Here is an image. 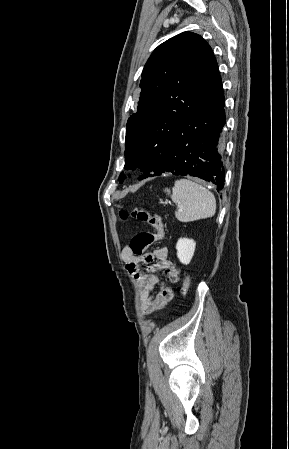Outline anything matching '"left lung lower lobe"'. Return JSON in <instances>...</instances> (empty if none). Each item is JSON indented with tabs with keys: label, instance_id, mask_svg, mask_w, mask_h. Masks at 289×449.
Instances as JSON below:
<instances>
[{
	"label": "left lung lower lobe",
	"instance_id": "1",
	"mask_svg": "<svg viewBox=\"0 0 289 449\" xmlns=\"http://www.w3.org/2000/svg\"><path fill=\"white\" fill-rule=\"evenodd\" d=\"M222 81L217 62L187 117L173 129L166 157L157 173L190 175L211 182L218 189L224 187L225 170L222 161L223 129L226 123Z\"/></svg>",
	"mask_w": 289,
	"mask_h": 449
}]
</instances>
